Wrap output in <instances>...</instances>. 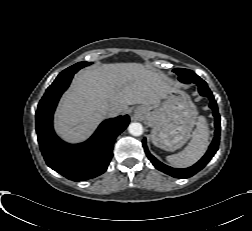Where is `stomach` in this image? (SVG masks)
<instances>
[{"instance_id": "1", "label": "stomach", "mask_w": 252, "mask_h": 231, "mask_svg": "<svg viewBox=\"0 0 252 231\" xmlns=\"http://www.w3.org/2000/svg\"><path fill=\"white\" fill-rule=\"evenodd\" d=\"M136 115L152 128L151 140L155 146L174 151L189 139L197 111L190 97L177 91L158 104L139 106Z\"/></svg>"}]
</instances>
